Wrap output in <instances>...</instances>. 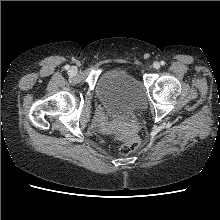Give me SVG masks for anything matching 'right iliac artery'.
Returning a JSON list of instances; mask_svg holds the SVG:
<instances>
[{
  "label": "right iliac artery",
  "mask_w": 220,
  "mask_h": 220,
  "mask_svg": "<svg viewBox=\"0 0 220 220\" xmlns=\"http://www.w3.org/2000/svg\"><path fill=\"white\" fill-rule=\"evenodd\" d=\"M65 68L68 70V69H69V66H68V65H66V66H65Z\"/></svg>",
  "instance_id": "1"
}]
</instances>
